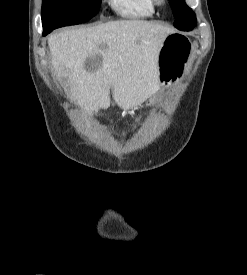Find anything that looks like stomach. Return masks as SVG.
<instances>
[{
	"mask_svg": "<svg viewBox=\"0 0 247 275\" xmlns=\"http://www.w3.org/2000/svg\"><path fill=\"white\" fill-rule=\"evenodd\" d=\"M191 60V42L179 33L167 35L158 52V79L160 87L173 86L184 78L186 66ZM157 102V96L147 100L151 106Z\"/></svg>",
	"mask_w": 247,
	"mask_h": 275,
	"instance_id": "1",
	"label": "stomach"
}]
</instances>
